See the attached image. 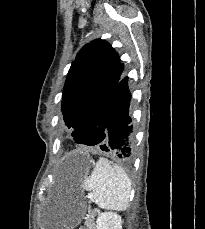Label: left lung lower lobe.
I'll use <instances>...</instances> for the list:
<instances>
[{"label": "left lung lower lobe", "mask_w": 205, "mask_h": 229, "mask_svg": "<svg viewBox=\"0 0 205 229\" xmlns=\"http://www.w3.org/2000/svg\"><path fill=\"white\" fill-rule=\"evenodd\" d=\"M130 99L128 77H121L108 101L103 125L89 132L92 143L99 144L103 151L112 153L122 161H130L133 156L134 131L129 115Z\"/></svg>", "instance_id": "0a47b994"}]
</instances>
